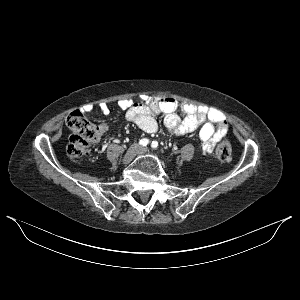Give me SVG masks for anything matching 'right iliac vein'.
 <instances>
[{
    "label": "right iliac vein",
    "instance_id": "obj_1",
    "mask_svg": "<svg viewBox=\"0 0 300 300\" xmlns=\"http://www.w3.org/2000/svg\"><path fill=\"white\" fill-rule=\"evenodd\" d=\"M139 152V147L137 144H133L132 146H130V148L127 150L126 154L124 155L123 158V162L125 164L131 162L135 156L138 154Z\"/></svg>",
    "mask_w": 300,
    "mask_h": 300
}]
</instances>
